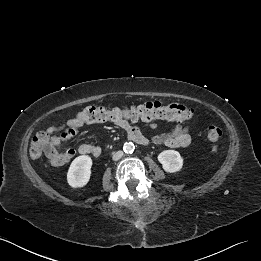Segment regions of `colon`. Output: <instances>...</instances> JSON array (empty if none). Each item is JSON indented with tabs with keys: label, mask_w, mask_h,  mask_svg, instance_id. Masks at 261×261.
I'll use <instances>...</instances> for the list:
<instances>
[{
	"label": "colon",
	"mask_w": 261,
	"mask_h": 261,
	"mask_svg": "<svg viewBox=\"0 0 261 261\" xmlns=\"http://www.w3.org/2000/svg\"><path fill=\"white\" fill-rule=\"evenodd\" d=\"M194 116V110L182 104L164 105L160 102H147L141 105H123L111 109L102 107H86L80 111L76 118L84 124L95 122H114L118 120L144 121L150 122L157 119L166 120H189ZM77 128L68 129L60 135L61 139L66 140L73 137ZM222 135L221 130L216 126H209L207 129V139L211 145L212 154L218 152V142ZM48 135L46 132H40L32 137L29 153L37 158L43 153Z\"/></svg>",
	"instance_id": "1"
}]
</instances>
